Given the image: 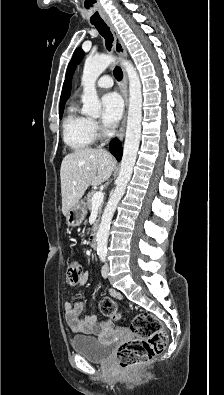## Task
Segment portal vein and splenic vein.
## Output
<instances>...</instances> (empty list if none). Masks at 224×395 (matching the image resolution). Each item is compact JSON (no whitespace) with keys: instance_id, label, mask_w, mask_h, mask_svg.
I'll use <instances>...</instances> for the list:
<instances>
[{"instance_id":"portal-vein-and-splenic-vein-1","label":"portal vein and splenic vein","mask_w":224,"mask_h":395,"mask_svg":"<svg viewBox=\"0 0 224 395\" xmlns=\"http://www.w3.org/2000/svg\"><path fill=\"white\" fill-rule=\"evenodd\" d=\"M104 200V194L102 191L96 192L92 197V207H99Z\"/></svg>"}]
</instances>
